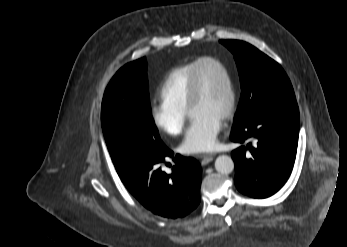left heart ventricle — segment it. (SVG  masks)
Here are the masks:
<instances>
[{
	"instance_id": "1",
	"label": "left heart ventricle",
	"mask_w": 347,
	"mask_h": 247,
	"mask_svg": "<svg viewBox=\"0 0 347 247\" xmlns=\"http://www.w3.org/2000/svg\"><path fill=\"white\" fill-rule=\"evenodd\" d=\"M198 76L201 94L190 109V116L194 118L206 114L222 119L229 101L228 84L224 73L219 67L205 63L200 66Z\"/></svg>"
}]
</instances>
